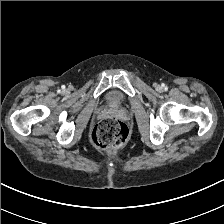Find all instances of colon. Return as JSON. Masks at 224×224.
<instances>
[{
  "mask_svg": "<svg viewBox=\"0 0 224 224\" xmlns=\"http://www.w3.org/2000/svg\"><path fill=\"white\" fill-rule=\"evenodd\" d=\"M128 137L129 130L126 124L114 117L102 119L91 133L92 144L101 151L121 147L127 142Z\"/></svg>",
  "mask_w": 224,
  "mask_h": 224,
  "instance_id": "obj_1",
  "label": "colon"
}]
</instances>
